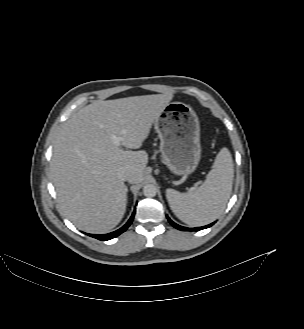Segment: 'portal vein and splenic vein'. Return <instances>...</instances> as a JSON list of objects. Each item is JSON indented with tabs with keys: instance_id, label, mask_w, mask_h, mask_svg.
<instances>
[{
	"instance_id": "obj_1",
	"label": "portal vein and splenic vein",
	"mask_w": 304,
	"mask_h": 329,
	"mask_svg": "<svg viewBox=\"0 0 304 329\" xmlns=\"http://www.w3.org/2000/svg\"><path fill=\"white\" fill-rule=\"evenodd\" d=\"M113 140L116 144H119V142L121 141V138L113 137Z\"/></svg>"
}]
</instances>
